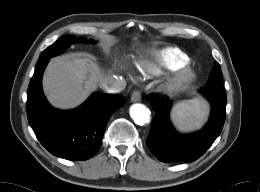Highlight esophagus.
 <instances>
[{
    "label": "esophagus",
    "instance_id": "34e87169",
    "mask_svg": "<svg viewBox=\"0 0 260 192\" xmlns=\"http://www.w3.org/2000/svg\"><path fill=\"white\" fill-rule=\"evenodd\" d=\"M131 101L132 102H139V101H141L140 91H138V90L133 91V93L131 95Z\"/></svg>",
    "mask_w": 260,
    "mask_h": 192
}]
</instances>
